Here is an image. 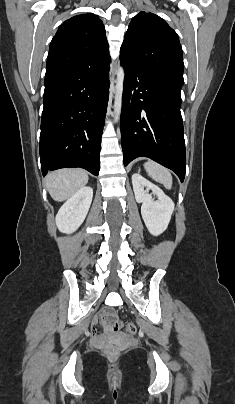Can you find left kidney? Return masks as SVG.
Listing matches in <instances>:
<instances>
[{
    "mask_svg": "<svg viewBox=\"0 0 235 404\" xmlns=\"http://www.w3.org/2000/svg\"><path fill=\"white\" fill-rule=\"evenodd\" d=\"M132 185L136 201L142 203L141 215L148 231L153 236L162 234L171 220L174 211L173 201L158 186L139 173L132 175ZM148 190L157 196L156 201L152 198V194L148 193Z\"/></svg>",
    "mask_w": 235,
    "mask_h": 404,
    "instance_id": "1",
    "label": "left kidney"
}]
</instances>
